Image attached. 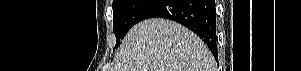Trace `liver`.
Instances as JSON below:
<instances>
[{"label":"liver","instance_id":"liver-1","mask_svg":"<svg viewBox=\"0 0 301 71\" xmlns=\"http://www.w3.org/2000/svg\"><path fill=\"white\" fill-rule=\"evenodd\" d=\"M112 71H215L208 47L184 26L153 18L131 28Z\"/></svg>","mask_w":301,"mask_h":71}]
</instances>
